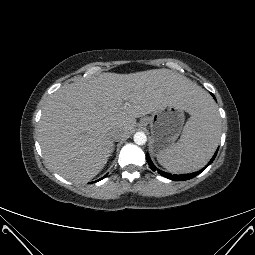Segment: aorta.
<instances>
[{"label": "aorta", "instance_id": "762f6f07", "mask_svg": "<svg viewBox=\"0 0 255 255\" xmlns=\"http://www.w3.org/2000/svg\"><path fill=\"white\" fill-rule=\"evenodd\" d=\"M133 139L137 145H144L147 142V136L144 132H136Z\"/></svg>", "mask_w": 255, "mask_h": 255}]
</instances>
